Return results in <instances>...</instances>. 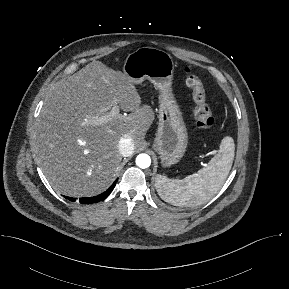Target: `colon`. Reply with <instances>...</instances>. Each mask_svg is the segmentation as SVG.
<instances>
[{
	"label": "colon",
	"instance_id": "1",
	"mask_svg": "<svg viewBox=\"0 0 289 289\" xmlns=\"http://www.w3.org/2000/svg\"><path fill=\"white\" fill-rule=\"evenodd\" d=\"M186 85L191 90L192 99L195 105L194 116L199 129L208 131L214 124V117L211 107L207 101L206 92L200 78L186 69Z\"/></svg>",
	"mask_w": 289,
	"mask_h": 289
}]
</instances>
